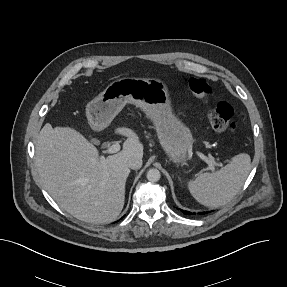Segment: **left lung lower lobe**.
Here are the masks:
<instances>
[{"mask_svg":"<svg viewBox=\"0 0 287 287\" xmlns=\"http://www.w3.org/2000/svg\"><path fill=\"white\" fill-rule=\"evenodd\" d=\"M184 213H185V214H188V215H189V214H191V213H190V212H188V211H184Z\"/></svg>","mask_w":287,"mask_h":287,"instance_id":"0a47b994","label":"left lung lower lobe"}]
</instances>
